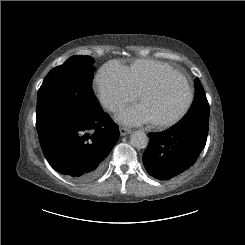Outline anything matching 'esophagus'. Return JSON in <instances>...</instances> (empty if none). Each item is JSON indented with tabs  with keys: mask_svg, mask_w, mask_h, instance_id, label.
Instances as JSON below:
<instances>
[{
	"mask_svg": "<svg viewBox=\"0 0 245 245\" xmlns=\"http://www.w3.org/2000/svg\"><path fill=\"white\" fill-rule=\"evenodd\" d=\"M120 135L121 136H125V135H127V134H130L131 133V130L130 129H128V128H125V127H120Z\"/></svg>",
	"mask_w": 245,
	"mask_h": 245,
	"instance_id": "obj_1",
	"label": "esophagus"
}]
</instances>
